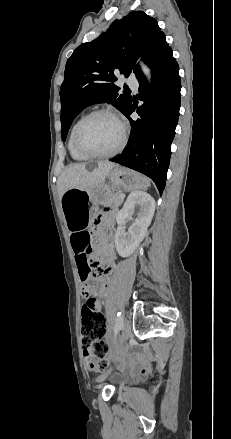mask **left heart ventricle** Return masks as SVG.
Returning <instances> with one entry per match:
<instances>
[{
	"label": "left heart ventricle",
	"mask_w": 231,
	"mask_h": 439,
	"mask_svg": "<svg viewBox=\"0 0 231 439\" xmlns=\"http://www.w3.org/2000/svg\"><path fill=\"white\" fill-rule=\"evenodd\" d=\"M122 129L118 122L100 116L85 125L80 134L82 146L92 153H107L120 142Z\"/></svg>",
	"instance_id": "left-heart-ventricle-1"
}]
</instances>
